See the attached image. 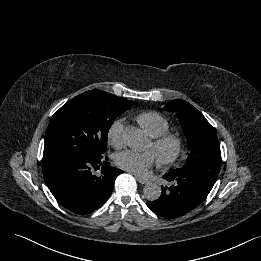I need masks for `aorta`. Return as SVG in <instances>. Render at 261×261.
Masks as SVG:
<instances>
[{
  "label": "aorta",
  "instance_id": "1",
  "mask_svg": "<svg viewBox=\"0 0 261 261\" xmlns=\"http://www.w3.org/2000/svg\"><path fill=\"white\" fill-rule=\"evenodd\" d=\"M124 140L131 149L141 150L146 145L147 138L141 129L129 126L124 132ZM143 192L146 199L155 201L161 195V188L157 184L148 183L145 185Z\"/></svg>",
  "mask_w": 261,
  "mask_h": 261
}]
</instances>
